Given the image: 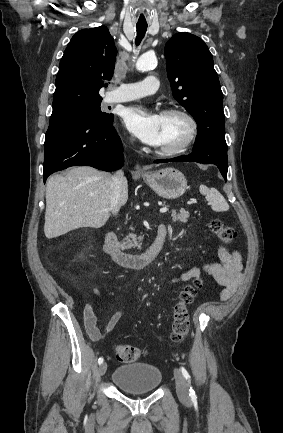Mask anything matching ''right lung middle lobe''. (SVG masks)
I'll return each instance as SVG.
<instances>
[{
	"label": "right lung middle lobe",
	"instance_id": "obj_1",
	"mask_svg": "<svg viewBox=\"0 0 283 433\" xmlns=\"http://www.w3.org/2000/svg\"><path fill=\"white\" fill-rule=\"evenodd\" d=\"M101 101L82 104L67 110L52 113L50 120L74 118V117H95L109 119L113 115L107 114L100 109Z\"/></svg>",
	"mask_w": 283,
	"mask_h": 433
}]
</instances>
